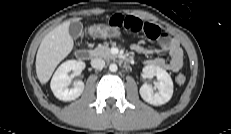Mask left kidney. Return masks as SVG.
I'll use <instances>...</instances> for the list:
<instances>
[{"instance_id":"1","label":"left kidney","mask_w":231,"mask_h":134,"mask_svg":"<svg viewBox=\"0 0 231 134\" xmlns=\"http://www.w3.org/2000/svg\"><path fill=\"white\" fill-rule=\"evenodd\" d=\"M143 74L146 78L157 77L158 79L154 88L147 83L140 87L143 100L155 106L167 103L173 95V81L166 70L159 66L147 65L143 68ZM154 89H157V92H154Z\"/></svg>"}]
</instances>
